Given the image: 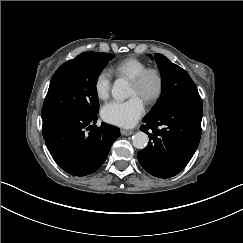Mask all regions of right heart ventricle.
<instances>
[{"instance_id":"e07e8e85","label":"right heart ventricle","mask_w":243,"mask_h":243,"mask_svg":"<svg viewBox=\"0 0 243 243\" xmlns=\"http://www.w3.org/2000/svg\"><path fill=\"white\" fill-rule=\"evenodd\" d=\"M147 63L136 57L126 58L111 67V71L119 76L127 77L129 80L138 75Z\"/></svg>"}]
</instances>
